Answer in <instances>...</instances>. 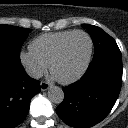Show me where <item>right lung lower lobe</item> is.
<instances>
[{"label": "right lung lower lobe", "instance_id": "98d812e1", "mask_svg": "<svg viewBox=\"0 0 128 128\" xmlns=\"http://www.w3.org/2000/svg\"><path fill=\"white\" fill-rule=\"evenodd\" d=\"M40 91V82L29 77L21 63L0 56V128L22 123Z\"/></svg>", "mask_w": 128, "mask_h": 128}]
</instances>
